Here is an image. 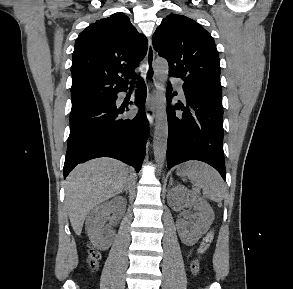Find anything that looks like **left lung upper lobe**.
Masks as SVG:
<instances>
[{
	"label": "left lung upper lobe",
	"instance_id": "1",
	"mask_svg": "<svg viewBox=\"0 0 293 289\" xmlns=\"http://www.w3.org/2000/svg\"><path fill=\"white\" fill-rule=\"evenodd\" d=\"M153 47L169 64V74L185 84L222 94L219 53L200 24L178 14L164 18L153 35Z\"/></svg>",
	"mask_w": 293,
	"mask_h": 289
}]
</instances>
